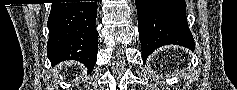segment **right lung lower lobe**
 <instances>
[{"instance_id": "right-lung-lower-lobe-1", "label": "right lung lower lobe", "mask_w": 237, "mask_h": 90, "mask_svg": "<svg viewBox=\"0 0 237 90\" xmlns=\"http://www.w3.org/2000/svg\"><path fill=\"white\" fill-rule=\"evenodd\" d=\"M97 2L52 4L48 18L47 54L52 65L82 62L91 72L97 61Z\"/></svg>"}]
</instances>
